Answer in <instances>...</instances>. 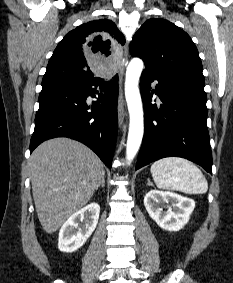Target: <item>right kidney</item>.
<instances>
[{
    "label": "right kidney",
    "mask_w": 233,
    "mask_h": 283,
    "mask_svg": "<svg viewBox=\"0 0 233 283\" xmlns=\"http://www.w3.org/2000/svg\"><path fill=\"white\" fill-rule=\"evenodd\" d=\"M100 213V206L91 203L71 215L59 232L58 248L71 253L78 250L95 230Z\"/></svg>",
    "instance_id": "1"
}]
</instances>
